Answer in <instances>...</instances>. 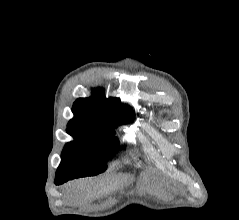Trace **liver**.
Returning <instances> with one entry per match:
<instances>
[{
    "mask_svg": "<svg viewBox=\"0 0 239 220\" xmlns=\"http://www.w3.org/2000/svg\"><path fill=\"white\" fill-rule=\"evenodd\" d=\"M111 189V183L109 185L107 180L82 179L67 185L66 196L73 202H84L98 198Z\"/></svg>",
    "mask_w": 239,
    "mask_h": 220,
    "instance_id": "1",
    "label": "liver"
}]
</instances>
